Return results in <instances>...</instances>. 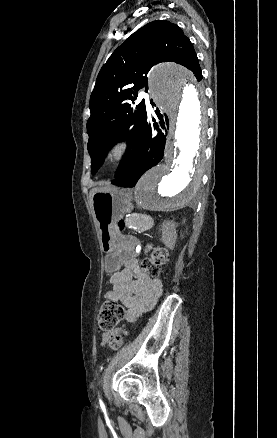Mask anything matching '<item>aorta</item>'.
<instances>
[{"instance_id": "obj_1", "label": "aorta", "mask_w": 277, "mask_h": 438, "mask_svg": "<svg viewBox=\"0 0 277 438\" xmlns=\"http://www.w3.org/2000/svg\"><path fill=\"white\" fill-rule=\"evenodd\" d=\"M149 89L169 118L170 132L163 162L137 184V201L147 210L172 211L187 204L201 183L205 107L191 73L173 63L152 69Z\"/></svg>"}]
</instances>
